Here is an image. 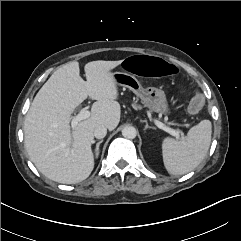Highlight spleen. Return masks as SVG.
<instances>
[{"mask_svg": "<svg viewBox=\"0 0 241 241\" xmlns=\"http://www.w3.org/2000/svg\"><path fill=\"white\" fill-rule=\"evenodd\" d=\"M211 134V122L202 120L181 140L164 138L162 156L166 170L172 175H183L195 169L209 150Z\"/></svg>", "mask_w": 241, "mask_h": 241, "instance_id": "1", "label": "spleen"}]
</instances>
